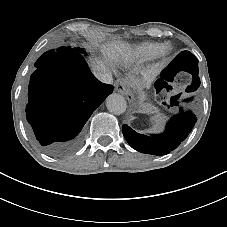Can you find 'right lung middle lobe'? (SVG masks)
<instances>
[{
  "instance_id": "dd1d6c3e",
  "label": "right lung middle lobe",
  "mask_w": 227,
  "mask_h": 227,
  "mask_svg": "<svg viewBox=\"0 0 227 227\" xmlns=\"http://www.w3.org/2000/svg\"><path fill=\"white\" fill-rule=\"evenodd\" d=\"M76 53H84V50L80 49V48H77V49H73ZM80 54V53H79ZM81 55V54H80ZM83 58V57H82Z\"/></svg>"
}]
</instances>
